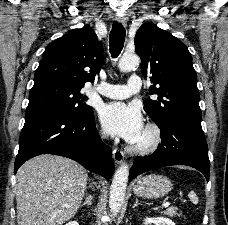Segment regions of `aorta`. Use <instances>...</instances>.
Wrapping results in <instances>:
<instances>
[{
	"label": "aorta",
	"mask_w": 228,
	"mask_h": 225,
	"mask_svg": "<svg viewBox=\"0 0 228 225\" xmlns=\"http://www.w3.org/2000/svg\"><path fill=\"white\" fill-rule=\"evenodd\" d=\"M140 64V58L138 54H123L120 60H118L119 70L122 72H130L133 68H137ZM129 177V167L126 163L118 167L113 181L111 183L110 197H109V209L111 213H119L122 203L124 201L126 187Z\"/></svg>",
	"instance_id": "762f6f07"
}]
</instances>
